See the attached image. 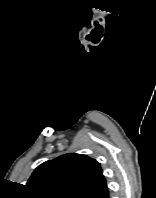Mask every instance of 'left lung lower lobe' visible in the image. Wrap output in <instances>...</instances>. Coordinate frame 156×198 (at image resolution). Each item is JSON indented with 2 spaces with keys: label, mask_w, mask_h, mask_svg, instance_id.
Masks as SVG:
<instances>
[{
  "label": "left lung lower lobe",
  "mask_w": 156,
  "mask_h": 198,
  "mask_svg": "<svg viewBox=\"0 0 156 198\" xmlns=\"http://www.w3.org/2000/svg\"><path fill=\"white\" fill-rule=\"evenodd\" d=\"M97 198H109L108 188L103 193H101L100 195H98Z\"/></svg>",
  "instance_id": "left-lung-lower-lobe-1"
}]
</instances>
